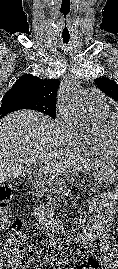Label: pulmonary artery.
Wrapping results in <instances>:
<instances>
[{
  "label": "pulmonary artery",
  "mask_w": 118,
  "mask_h": 269,
  "mask_svg": "<svg viewBox=\"0 0 118 269\" xmlns=\"http://www.w3.org/2000/svg\"><path fill=\"white\" fill-rule=\"evenodd\" d=\"M84 103L90 111H96L107 107L104 95L95 88L86 90L84 93Z\"/></svg>",
  "instance_id": "e3ab8cb5"
}]
</instances>
